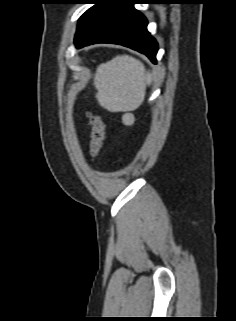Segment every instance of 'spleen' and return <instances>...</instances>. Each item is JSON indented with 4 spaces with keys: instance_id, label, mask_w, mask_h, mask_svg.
I'll return each instance as SVG.
<instances>
[{
    "instance_id": "spleen-1",
    "label": "spleen",
    "mask_w": 236,
    "mask_h": 321,
    "mask_svg": "<svg viewBox=\"0 0 236 321\" xmlns=\"http://www.w3.org/2000/svg\"><path fill=\"white\" fill-rule=\"evenodd\" d=\"M151 82L150 73L139 60L117 56L98 66L94 77L96 98L108 111H132L141 105Z\"/></svg>"
}]
</instances>
